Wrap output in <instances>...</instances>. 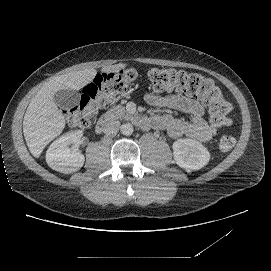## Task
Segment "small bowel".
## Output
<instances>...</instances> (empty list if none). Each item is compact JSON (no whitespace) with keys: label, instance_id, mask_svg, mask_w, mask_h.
Listing matches in <instances>:
<instances>
[{"label":"small bowel","instance_id":"c3829d8e","mask_svg":"<svg viewBox=\"0 0 271 271\" xmlns=\"http://www.w3.org/2000/svg\"><path fill=\"white\" fill-rule=\"evenodd\" d=\"M145 100L151 106H165L188 115V119L170 114L153 118V124L166 130L170 137H188L201 142L209 141L213 137L214 131L204 119L205 108L197 100L178 94L159 96L154 93L147 94Z\"/></svg>","mask_w":271,"mask_h":271}]
</instances>
